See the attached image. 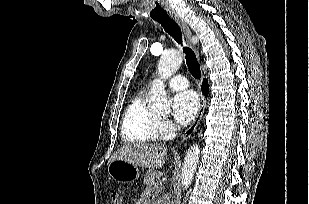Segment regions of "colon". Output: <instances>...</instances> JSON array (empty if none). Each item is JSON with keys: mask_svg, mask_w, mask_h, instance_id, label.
I'll list each match as a JSON object with an SVG mask.
<instances>
[{"mask_svg": "<svg viewBox=\"0 0 309 204\" xmlns=\"http://www.w3.org/2000/svg\"><path fill=\"white\" fill-rule=\"evenodd\" d=\"M112 201H113V204H122V196L120 193L118 192H114L112 194Z\"/></svg>", "mask_w": 309, "mask_h": 204, "instance_id": "5ec220e1", "label": "colon"}]
</instances>
